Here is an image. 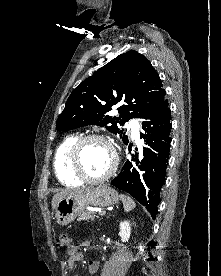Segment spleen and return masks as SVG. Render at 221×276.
I'll use <instances>...</instances> for the list:
<instances>
[{
	"label": "spleen",
	"mask_w": 221,
	"mask_h": 276,
	"mask_svg": "<svg viewBox=\"0 0 221 276\" xmlns=\"http://www.w3.org/2000/svg\"><path fill=\"white\" fill-rule=\"evenodd\" d=\"M120 197L123 202V207L125 212H129L136 207L135 202L130 197L123 194Z\"/></svg>",
	"instance_id": "obj_1"
}]
</instances>
